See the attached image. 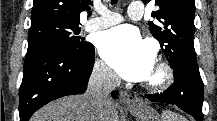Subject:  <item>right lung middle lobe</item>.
Masks as SVG:
<instances>
[{
	"mask_svg": "<svg viewBox=\"0 0 217 121\" xmlns=\"http://www.w3.org/2000/svg\"><path fill=\"white\" fill-rule=\"evenodd\" d=\"M79 24L56 19H44L31 23L28 36L27 52L42 49H59L73 53L84 52L90 43L84 42L77 35Z\"/></svg>",
	"mask_w": 217,
	"mask_h": 121,
	"instance_id": "1",
	"label": "right lung middle lobe"
}]
</instances>
